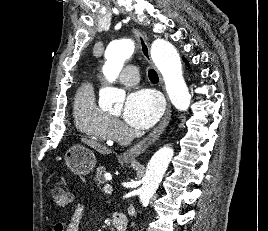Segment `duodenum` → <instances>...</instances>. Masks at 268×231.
I'll list each match as a JSON object with an SVG mask.
<instances>
[{
	"label": "duodenum",
	"mask_w": 268,
	"mask_h": 231,
	"mask_svg": "<svg viewBox=\"0 0 268 231\" xmlns=\"http://www.w3.org/2000/svg\"><path fill=\"white\" fill-rule=\"evenodd\" d=\"M112 224L116 231L127 230V217L123 212H115L112 216Z\"/></svg>",
	"instance_id": "duodenum-1"
}]
</instances>
